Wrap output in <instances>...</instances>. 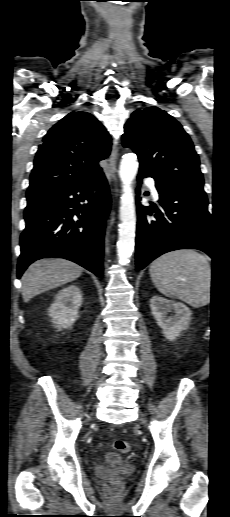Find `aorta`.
<instances>
[{"label": "aorta", "instance_id": "obj_1", "mask_svg": "<svg viewBox=\"0 0 230 517\" xmlns=\"http://www.w3.org/2000/svg\"><path fill=\"white\" fill-rule=\"evenodd\" d=\"M138 162L135 154L129 153L122 157L119 176L122 182L120 200V224L118 229L117 255L119 263L129 262L134 251L136 213L132 183L137 174Z\"/></svg>", "mask_w": 230, "mask_h": 517}]
</instances>
